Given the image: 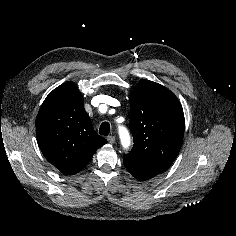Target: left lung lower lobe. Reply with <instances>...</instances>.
I'll return each mask as SVG.
<instances>
[{
    "instance_id": "1",
    "label": "left lung lower lobe",
    "mask_w": 236,
    "mask_h": 236,
    "mask_svg": "<svg viewBox=\"0 0 236 236\" xmlns=\"http://www.w3.org/2000/svg\"><path fill=\"white\" fill-rule=\"evenodd\" d=\"M124 165L133 177L141 181L161 174L169 167L168 165L146 160L130 153L124 155Z\"/></svg>"
}]
</instances>
